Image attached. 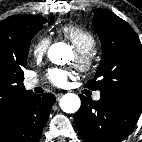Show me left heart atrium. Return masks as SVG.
<instances>
[{
  "label": "left heart atrium",
  "instance_id": "39dd6f15",
  "mask_svg": "<svg viewBox=\"0 0 142 142\" xmlns=\"http://www.w3.org/2000/svg\"><path fill=\"white\" fill-rule=\"evenodd\" d=\"M73 78V73L65 68H52L48 72L49 81L56 87L64 88L68 85L69 80Z\"/></svg>",
  "mask_w": 142,
  "mask_h": 142
}]
</instances>
